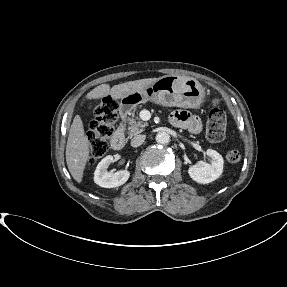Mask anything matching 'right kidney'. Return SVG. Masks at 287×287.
Segmentation results:
<instances>
[{"mask_svg":"<svg viewBox=\"0 0 287 287\" xmlns=\"http://www.w3.org/2000/svg\"><path fill=\"white\" fill-rule=\"evenodd\" d=\"M114 162L112 155L103 158L96 167L94 172V182L104 188H115L127 182L130 177L128 170L118 172H108L107 168Z\"/></svg>","mask_w":287,"mask_h":287,"instance_id":"ca27d5eb","label":"right kidney"}]
</instances>
